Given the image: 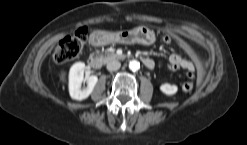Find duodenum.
<instances>
[{
	"instance_id": "duodenum-1",
	"label": "duodenum",
	"mask_w": 247,
	"mask_h": 145,
	"mask_svg": "<svg viewBox=\"0 0 247 145\" xmlns=\"http://www.w3.org/2000/svg\"><path fill=\"white\" fill-rule=\"evenodd\" d=\"M106 38H107V35H106V34H95V35L93 36V38H92V45L98 46V45H100ZM142 61H143L144 65H145L148 69H150V70L154 69L155 64H154V61H153L152 59L147 58V57H144V58H142ZM88 64H89L92 68H94V69L99 68L100 65H101L100 61H99L96 57H94V56H90V57H89V59H88Z\"/></svg>"
}]
</instances>
